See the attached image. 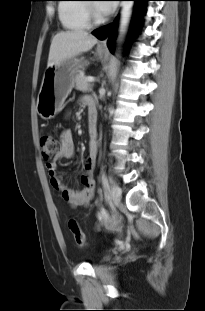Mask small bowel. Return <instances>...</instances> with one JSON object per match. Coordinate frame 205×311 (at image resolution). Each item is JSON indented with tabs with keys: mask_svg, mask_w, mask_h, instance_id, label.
Masks as SVG:
<instances>
[{
	"mask_svg": "<svg viewBox=\"0 0 205 311\" xmlns=\"http://www.w3.org/2000/svg\"><path fill=\"white\" fill-rule=\"evenodd\" d=\"M85 103L88 107V135L90 142L85 165L86 173L80 178L83 188L78 191L69 188L57 174V162L62 159H71L75 154L73 135L70 129H65L61 132L60 150L54 155L53 159L46 162L47 172L51 176V185L60 192L61 197L72 207L87 205L93 198L96 187L92 172L97 159V112L93 100L87 98Z\"/></svg>",
	"mask_w": 205,
	"mask_h": 311,
	"instance_id": "c3829d8e",
	"label": "small bowel"
}]
</instances>
